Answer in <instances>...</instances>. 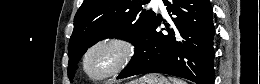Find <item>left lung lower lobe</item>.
<instances>
[{
    "mask_svg": "<svg viewBox=\"0 0 260 84\" xmlns=\"http://www.w3.org/2000/svg\"><path fill=\"white\" fill-rule=\"evenodd\" d=\"M171 20L165 31H156L155 17L141 54L117 79L142 73H165L197 84H213V9L209 0H163Z\"/></svg>",
    "mask_w": 260,
    "mask_h": 84,
    "instance_id": "1",
    "label": "left lung lower lobe"
}]
</instances>
